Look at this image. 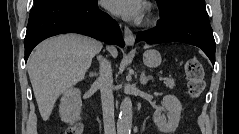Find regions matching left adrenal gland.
Listing matches in <instances>:
<instances>
[{
	"instance_id": "obj_1",
	"label": "left adrenal gland",
	"mask_w": 239,
	"mask_h": 134,
	"mask_svg": "<svg viewBox=\"0 0 239 134\" xmlns=\"http://www.w3.org/2000/svg\"><path fill=\"white\" fill-rule=\"evenodd\" d=\"M152 76H146L145 75V71H142L141 75H140V82L142 85H146L148 83L149 80H152Z\"/></svg>"
}]
</instances>
